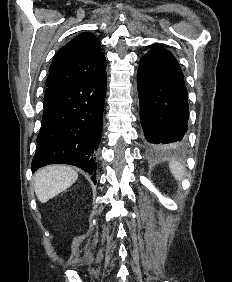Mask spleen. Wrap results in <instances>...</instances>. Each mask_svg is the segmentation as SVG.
I'll use <instances>...</instances> for the list:
<instances>
[{"instance_id":"spleen-1","label":"spleen","mask_w":232,"mask_h":282,"mask_svg":"<svg viewBox=\"0 0 232 282\" xmlns=\"http://www.w3.org/2000/svg\"><path fill=\"white\" fill-rule=\"evenodd\" d=\"M171 173L177 180H181L184 175V166L177 161H171L169 164Z\"/></svg>"}]
</instances>
